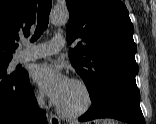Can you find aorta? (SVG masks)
<instances>
[{
  "mask_svg": "<svg viewBox=\"0 0 156 124\" xmlns=\"http://www.w3.org/2000/svg\"><path fill=\"white\" fill-rule=\"evenodd\" d=\"M69 12L67 9L55 8L51 11L50 21L53 25H63L68 22Z\"/></svg>",
  "mask_w": 156,
  "mask_h": 124,
  "instance_id": "obj_1",
  "label": "aorta"
}]
</instances>
